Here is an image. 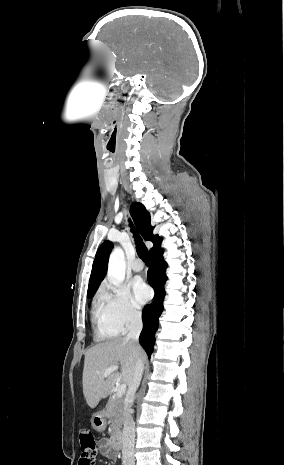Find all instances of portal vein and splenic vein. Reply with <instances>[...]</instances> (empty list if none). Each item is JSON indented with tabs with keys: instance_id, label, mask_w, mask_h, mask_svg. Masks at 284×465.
<instances>
[{
	"instance_id": "portal-vein-and-splenic-vein-1",
	"label": "portal vein and splenic vein",
	"mask_w": 284,
	"mask_h": 465,
	"mask_svg": "<svg viewBox=\"0 0 284 465\" xmlns=\"http://www.w3.org/2000/svg\"><path fill=\"white\" fill-rule=\"evenodd\" d=\"M119 367H108V369H105L102 377H109V375H111V373H115V371H118ZM125 391H126V385H124V383H122V385H120V387H118L117 389V393H116V397L117 399H121V397H123V395H125Z\"/></svg>"
}]
</instances>
